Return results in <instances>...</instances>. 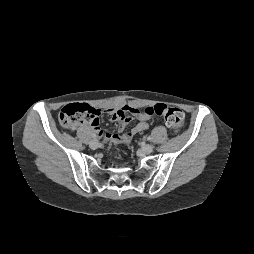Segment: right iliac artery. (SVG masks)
I'll use <instances>...</instances> for the list:
<instances>
[{"instance_id":"right-iliac-artery-1","label":"right iliac artery","mask_w":254,"mask_h":254,"mask_svg":"<svg viewBox=\"0 0 254 254\" xmlns=\"http://www.w3.org/2000/svg\"><path fill=\"white\" fill-rule=\"evenodd\" d=\"M93 138L96 139V135H94Z\"/></svg>"}]
</instances>
